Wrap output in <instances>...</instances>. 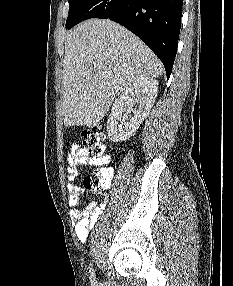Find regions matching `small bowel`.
Returning <instances> with one entry per match:
<instances>
[{
  "label": "small bowel",
  "instance_id": "small-bowel-1",
  "mask_svg": "<svg viewBox=\"0 0 233 286\" xmlns=\"http://www.w3.org/2000/svg\"><path fill=\"white\" fill-rule=\"evenodd\" d=\"M108 162V158L102 160L90 157L87 150L75 143L72 145L68 154L67 168V191L69 194V205L72 207L70 211L71 222L74 226L76 236L81 242H85L89 234V230L95 225L101 216L105 202L92 201L83 209H80L82 202L81 196L84 192L83 188L75 183L79 174V168L82 166H100ZM112 172L113 169L109 168Z\"/></svg>",
  "mask_w": 233,
  "mask_h": 286
}]
</instances>
